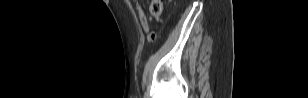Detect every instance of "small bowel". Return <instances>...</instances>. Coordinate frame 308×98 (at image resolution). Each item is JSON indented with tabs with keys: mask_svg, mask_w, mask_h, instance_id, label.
Wrapping results in <instances>:
<instances>
[{
	"mask_svg": "<svg viewBox=\"0 0 308 98\" xmlns=\"http://www.w3.org/2000/svg\"><path fill=\"white\" fill-rule=\"evenodd\" d=\"M135 5H136V10H137V13H138L140 25H141L142 29L146 33L149 34L150 33L149 20H148L146 14L144 13L142 7L140 6V4L138 2H136Z\"/></svg>",
	"mask_w": 308,
	"mask_h": 98,
	"instance_id": "1",
	"label": "small bowel"
}]
</instances>
